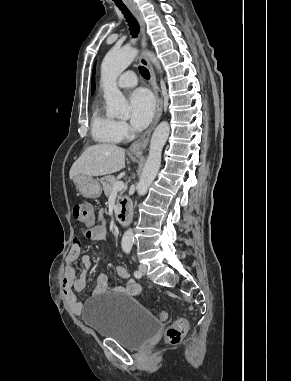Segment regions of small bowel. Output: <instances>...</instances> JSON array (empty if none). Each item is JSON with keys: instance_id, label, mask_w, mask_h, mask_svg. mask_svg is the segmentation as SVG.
Returning <instances> with one entry per match:
<instances>
[{"instance_id": "1", "label": "small bowel", "mask_w": 291, "mask_h": 381, "mask_svg": "<svg viewBox=\"0 0 291 381\" xmlns=\"http://www.w3.org/2000/svg\"><path fill=\"white\" fill-rule=\"evenodd\" d=\"M84 236L92 241H105L106 230L102 225H97L86 231ZM80 251L81 242L79 239H76L66 258V267L62 283L64 297L71 311L76 315L81 314L83 310V304L78 301L76 292H83L85 290L87 279L84 271L77 277L74 263L80 259L83 269H87L91 265L90 258L87 255L81 256ZM116 273L122 279H129V273L122 265L116 267ZM105 292L124 293L126 295L136 296L141 292V285L137 281L128 280L125 286H120L111 281L106 275L100 274L97 278V286L94 290V294L97 295Z\"/></svg>"}]
</instances>
